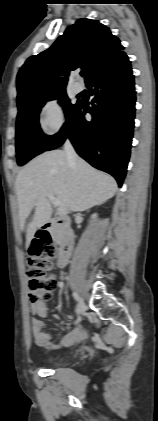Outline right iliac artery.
Listing matches in <instances>:
<instances>
[{"label":"right iliac artery","instance_id":"right-iliac-artery-1","mask_svg":"<svg viewBox=\"0 0 158 421\" xmlns=\"http://www.w3.org/2000/svg\"><path fill=\"white\" fill-rule=\"evenodd\" d=\"M73 297H74L75 300H79V296H78L77 293H73Z\"/></svg>","mask_w":158,"mask_h":421}]
</instances>
